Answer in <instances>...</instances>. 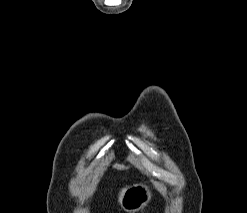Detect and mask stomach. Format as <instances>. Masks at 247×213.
I'll list each match as a JSON object with an SVG mask.
<instances>
[{"label": "stomach", "instance_id": "0dacf381", "mask_svg": "<svg viewBox=\"0 0 247 213\" xmlns=\"http://www.w3.org/2000/svg\"><path fill=\"white\" fill-rule=\"evenodd\" d=\"M152 196V189L149 185L145 183L133 184L122 194L120 206L127 213H136L151 201Z\"/></svg>", "mask_w": 247, "mask_h": 213}]
</instances>
